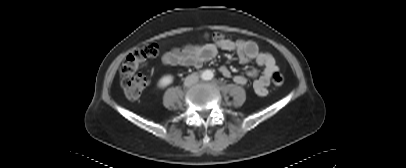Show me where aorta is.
<instances>
[{"instance_id":"obj_1","label":"aorta","mask_w":406,"mask_h":168,"mask_svg":"<svg viewBox=\"0 0 406 168\" xmlns=\"http://www.w3.org/2000/svg\"><path fill=\"white\" fill-rule=\"evenodd\" d=\"M213 76H214V74H213V72L211 70H205L202 73V78L204 80H211L213 78Z\"/></svg>"}]
</instances>
